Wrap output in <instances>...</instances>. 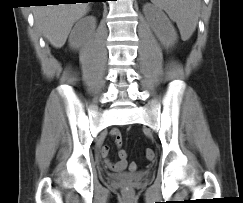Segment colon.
Masks as SVG:
<instances>
[{"label": "colon", "instance_id": "obj_1", "mask_svg": "<svg viewBox=\"0 0 243 203\" xmlns=\"http://www.w3.org/2000/svg\"><path fill=\"white\" fill-rule=\"evenodd\" d=\"M120 155L122 156V157H126V152L124 151V150H121L120 151ZM145 157H146V159L147 160H153L154 158H155V153H154V151H152L151 149H147L146 151H145ZM124 191L125 192H129L130 191V189L129 188H124Z\"/></svg>", "mask_w": 243, "mask_h": 203}]
</instances>
